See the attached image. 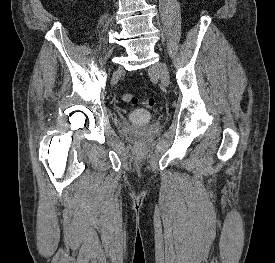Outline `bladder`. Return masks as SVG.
<instances>
[{
  "label": "bladder",
  "instance_id": "bladder-1",
  "mask_svg": "<svg viewBox=\"0 0 275 263\" xmlns=\"http://www.w3.org/2000/svg\"><path fill=\"white\" fill-rule=\"evenodd\" d=\"M151 117V113L144 109H134L128 114L127 120L133 125H146L150 122Z\"/></svg>",
  "mask_w": 275,
  "mask_h": 263
}]
</instances>
